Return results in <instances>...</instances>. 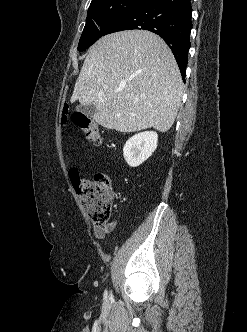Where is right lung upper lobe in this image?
Returning a JSON list of instances; mask_svg holds the SVG:
<instances>
[{
	"mask_svg": "<svg viewBox=\"0 0 247 332\" xmlns=\"http://www.w3.org/2000/svg\"><path fill=\"white\" fill-rule=\"evenodd\" d=\"M96 1H99V0H92V2H91V3H94V2H96Z\"/></svg>",
	"mask_w": 247,
	"mask_h": 332,
	"instance_id": "right-lung-upper-lobe-1",
	"label": "right lung upper lobe"
}]
</instances>
